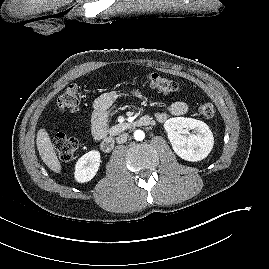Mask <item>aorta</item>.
<instances>
[{
	"instance_id": "obj_1",
	"label": "aorta",
	"mask_w": 269,
	"mask_h": 269,
	"mask_svg": "<svg viewBox=\"0 0 269 269\" xmlns=\"http://www.w3.org/2000/svg\"><path fill=\"white\" fill-rule=\"evenodd\" d=\"M145 138V133L142 130H136L134 132V139L137 141H142Z\"/></svg>"
}]
</instances>
